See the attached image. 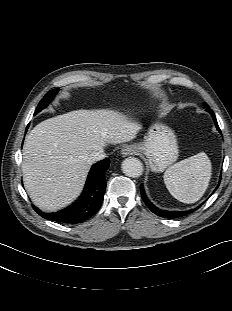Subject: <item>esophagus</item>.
<instances>
[{
    "label": "esophagus",
    "mask_w": 232,
    "mask_h": 311,
    "mask_svg": "<svg viewBox=\"0 0 232 311\" xmlns=\"http://www.w3.org/2000/svg\"><path fill=\"white\" fill-rule=\"evenodd\" d=\"M137 153L136 147L133 146H126L121 150V154L123 156L133 155Z\"/></svg>",
    "instance_id": "obj_1"
}]
</instances>
